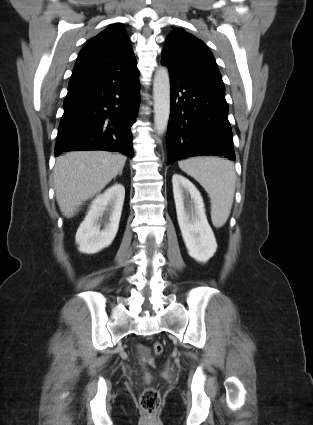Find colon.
Masks as SVG:
<instances>
[{"instance_id": "5ec220e1", "label": "colon", "mask_w": 313, "mask_h": 425, "mask_svg": "<svg viewBox=\"0 0 313 425\" xmlns=\"http://www.w3.org/2000/svg\"><path fill=\"white\" fill-rule=\"evenodd\" d=\"M153 352L155 355H160L163 352V345L161 342H155L153 344ZM139 403L142 411L147 416L154 417L161 404L160 394L157 389L148 387L142 392Z\"/></svg>"}]
</instances>
